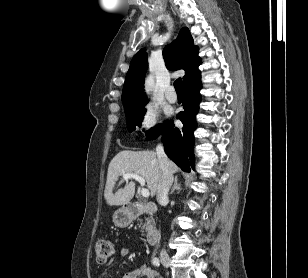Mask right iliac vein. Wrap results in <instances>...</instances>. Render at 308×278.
Returning <instances> with one entry per match:
<instances>
[{
	"label": "right iliac vein",
	"mask_w": 308,
	"mask_h": 278,
	"mask_svg": "<svg viewBox=\"0 0 308 278\" xmlns=\"http://www.w3.org/2000/svg\"><path fill=\"white\" fill-rule=\"evenodd\" d=\"M160 259H161L162 264L165 267H168L170 265V258H169V255L167 254V252L162 251L160 253Z\"/></svg>",
	"instance_id": "right-iliac-vein-1"
}]
</instances>
